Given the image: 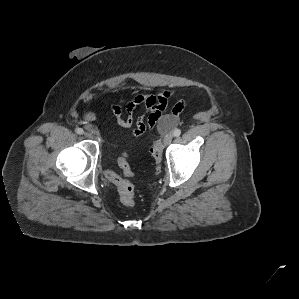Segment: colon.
I'll list each match as a JSON object with an SVG mask.
<instances>
[{
    "mask_svg": "<svg viewBox=\"0 0 299 299\" xmlns=\"http://www.w3.org/2000/svg\"><path fill=\"white\" fill-rule=\"evenodd\" d=\"M174 125V120L170 117H166L161 121L160 126L162 128H170ZM151 156L154 160L156 168H158L162 158H163V148L160 142H154L150 149ZM118 166L122 173L130 177L133 175L129 160L128 153H124L118 160ZM107 179L114 184L119 192L120 201L125 206H133L135 203L134 200V186L127 179L121 177L119 174L113 171H108L106 173Z\"/></svg>",
    "mask_w": 299,
    "mask_h": 299,
    "instance_id": "5ec220e1",
    "label": "colon"
}]
</instances>
